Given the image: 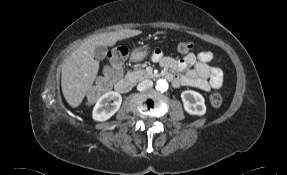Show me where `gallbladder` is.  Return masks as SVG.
Here are the masks:
<instances>
[{
  "label": "gallbladder",
  "mask_w": 287,
  "mask_h": 175,
  "mask_svg": "<svg viewBox=\"0 0 287 175\" xmlns=\"http://www.w3.org/2000/svg\"><path fill=\"white\" fill-rule=\"evenodd\" d=\"M105 53H106V48L103 46H98L95 49V58L97 60H102L105 57Z\"/></svg>",
  "instance_id": "obj_1"
}]
</instances>
